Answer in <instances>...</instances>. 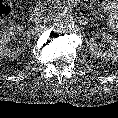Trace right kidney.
<instances>
[{
    "mask_svg": "<svg viewBox=\"0 0 118 118\" xmlns=\"http://www.w3.org/2000/svg\"><path fill=\"white\" fill-rule=\"evenodd\" d=\"M24 31L23 26L15 25L6 29L0 36V55L5 57L15 58L20 55L25 48L29 46V43L22 45V47L13 50L8 46L9 41L16 35Z\"/></svg>",
    "mask_w": 118,
    "mask_h": 118,
    "instance_id": "1",
    "label": "right kidney"
}]
</instances>
